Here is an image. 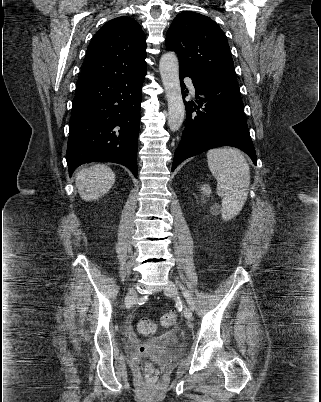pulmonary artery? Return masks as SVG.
Segmentation results:
<instances>
[{"mask_svg":"<svg viewBox=\"0 0 321 402\" xmlns=\"http://www.w3.org/2000/svg\"><path fill=\"white\" fill-rule=\"evenodd\" d=\"M184 82L189 86L191 93H195V88L193 86L192 80L189 77L184 78Z\"/></svg>","mask_w":321,"mask_h":402,"instance_id":"1","label":"pulmonary artery"}]
</instances>
